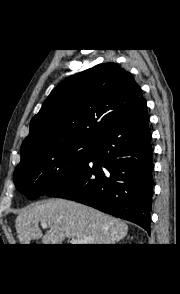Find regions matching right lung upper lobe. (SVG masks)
Masks as SVG:
<instances>
[{
	"label": "right lung upper lobe",
	"mask_w": 180,
	"mask_h": 294,
	"mask_svg": "<svg viewBox=\"0 0 180 294\" xmlns=\"http://www.w3.org/2000/svg\"><path fill=\"white\" fill-rule=\"evenodd\" d=\"M143 102L141 88L118 64L104 63L70 76L31 120L21 161L45 147L94 142Z\"/></svg>",
	"instance_id": "1"
}]
</instances>
